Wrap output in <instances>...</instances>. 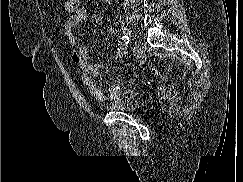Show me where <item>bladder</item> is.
<instances>
[{
	"instance_id": "obj_1",
	"label": "bladder",
	"mask_w": 243,
	"mask_h": 182,
	"mask_svg": "<svg viewBox=\"0 0 243 182\" xmlns=\"http://www.w3.org/2000/svg\"><path fill=\"white\" fill-rule=\"evenodd\" d=\"M146 104V95L138 91H126L124 94L105 106V109L114 112L135 111Z\"/></svg>"
}]
</instances>
